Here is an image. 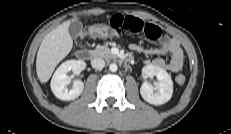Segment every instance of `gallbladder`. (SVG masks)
Here are the masks:
<instances>
[{
  "label": "gallbladder",
  "instance_id": "bac80fb5",
  "mask_svg": "<svg viewBox=\"0 0 231 134\" xmlns=\"http://www.w3.org/2000/svg\"><path fill=\"white\" fill-rule=\"evenodd\" d=\"M82 24L79 21H73L71 22L70 26H69V34L72 37H77L79 35V33L82 31Z\"/></svg>",
  "mask_w": 231,
  "mask_h": 134
}]
</instances>
